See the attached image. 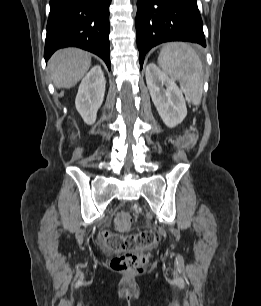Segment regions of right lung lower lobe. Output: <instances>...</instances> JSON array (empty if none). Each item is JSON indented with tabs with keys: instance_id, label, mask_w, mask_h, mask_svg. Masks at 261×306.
<instances>
[{
	"instance_id": "right-lung-lower-lobe-1",
	"label": "right lung lower lobe",
	"mask_w": 261,
	"mask_h": 306,
	"mask_svg": "<svg viewBox=\"0 0 261 306\" xmlns=\"http://www.w3.org/2000/svg\"><path fill=\"white\" fill-rule=\"evenodd\" d=\"M111 0H50L44 58L74 46L101 57L110 69L109 6Z\"/></svg>"
}]
</instances>
